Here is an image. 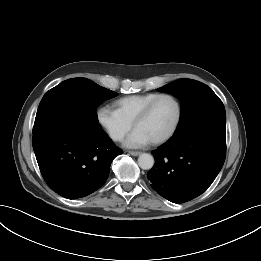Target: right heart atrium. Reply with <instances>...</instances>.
I'll list each match as a JSON object with an SVG mask.
<instances>
[{
	"label": "right heart atrium",
	"instance_id": "1",
	"mask_svg": "<svg viewBox=\"0 0 261 261\" xmlns=\"http://www.w3.org/2000/svg\"><path fill=\"white\" fill-rule=\"evenodd\" d=\"M96 120L112 141L123 140L131 129V124L115 109L102 106L96 111Z\"/></svg>",
	"mask_w": 261,
	"mask_h": 261
}]
</instances>
